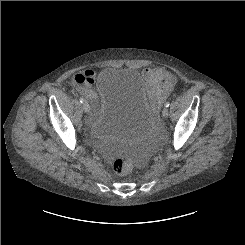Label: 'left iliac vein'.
I'll use <instances>...</instances> for the list:
<instances>
[{
	"label": "left iliac vein",
	"mask_w": 245,
	"mask_h": 245,
	"mask_svg": "<svg viewBox=\"0 0 245 245\" xmlns=\"http://www.w3.org/2000/svg\"><path fill=\"white\" fill-rule=\"evenodd\" d=\"M168 115H169L168 109L167 108H164L163 111H162V117L167 118Z\"/></svg>",
	"instance_id": "1"
}]
</instances>
